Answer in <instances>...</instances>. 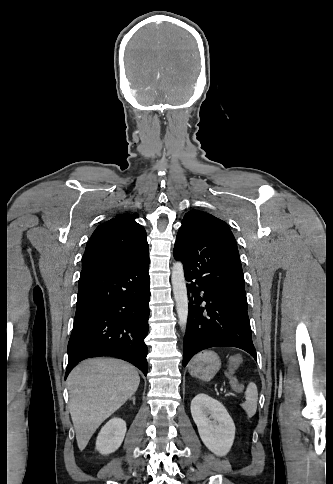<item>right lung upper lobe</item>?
Masks as SVG:
<instances>
[{"mask_svg": "<svg viewBox=\"0 0 333 484\" xmlns=\"http://www.w3.org/2000/svg\"><path fill=\"white\" fill-rule=\"evenodd\" d=\"M136 214H118L99 225L82 258V268L93 265L124 264L148 253L147 235Z\"/></svg>", "mask_w": 333, "mask_h": 484, "instance_id": "right-lung-upper-lobe-1", "label": "right lung upper lobe"}]
</instances>
